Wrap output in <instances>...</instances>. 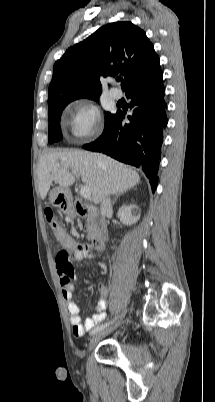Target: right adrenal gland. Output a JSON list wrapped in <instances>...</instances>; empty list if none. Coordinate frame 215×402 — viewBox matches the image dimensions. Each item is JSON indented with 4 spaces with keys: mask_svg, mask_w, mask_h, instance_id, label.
Returning a JSON list of instances; mask_svg holds the SVG:
<instances>
[{
    "mask_svg": "<svg viewBox=\"0 0 215 402\" xmlns=\"http://www.w3.org/2000/svg\"><path fill=\"white\" fill-rule=\"evenodd\" d=\"M124 193H126V191H124V192H121V193L117 194V195L115 196V198H114L113 202H112V205H114V204L116 203V201H117L118 197H119V196H121V195H123Z\"/></svg>",
    "mask_w": 215,
    "mask_h": 402,
    "instance_id": "2a0ac1e0",
    "label": "right adrenal gland"
}]
</instances>
